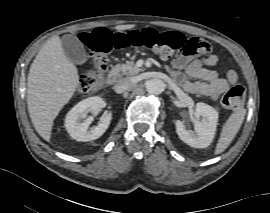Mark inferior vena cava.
Segmentation results:
<instances>
[{
  "mask_svg": "<svg viewBox=\"0 0 270 213\" xmlns=\"http://www.w3.org/2000/svg\"><path fill=\"white\" fill-rule=\"evenodd\" d=\"M134 85L130 78H122L115 85L116 93H123Z\"/></svg>",
  "mask_w": 270,
  "mask_h": 213,
  "instance_id": "1",
  "label": "inferior vena cava"
}]
</instances>
